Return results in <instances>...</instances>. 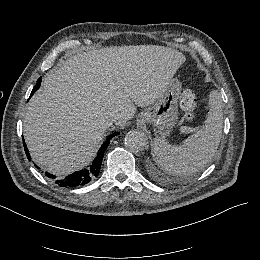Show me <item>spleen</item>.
I'll return each instance as SVG.
<instances>
[{"label":"spleen","mask_w":260,"mask_h":260,"mask_svg":"<svg viewBox=\"0 0 260 260\" xmlns=\"http://www.w3.org/2000/svg\"><path fill=\"white\" fill-rule=\"evenodd\" d=\"M209 111L203 128L181 145H170L165 139H154L155 161L171 175H191L203 169L214 156L222 137V99L217 90L209 94Z\"/></svg>","instance_id":"1"}]
</instances>
